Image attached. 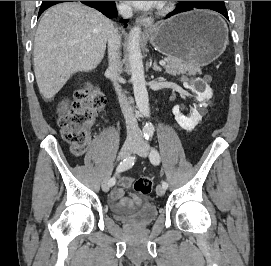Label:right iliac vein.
<instances>
[{"instance_id": "obj_1", "label": "right iliac vein", "mask_w": 271, "mask_h": 266, "mask_svg": "<svg viewBox=\"0 0 271 266\" xmlns=\"http://www.w3.org/2000/svg\"><path fill=\"white\" fill-rule=\"evenodd\" d=\"M137 148V144L134 143V142H126L120 152H119V155H118V158L119 159H122V158H125L127 157L132 151H134L135 149ZM110 189V184H109V179L108 178H105L102 182V190L104 192H108Z\"/></svg>"}]
</instances>
